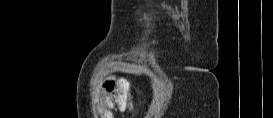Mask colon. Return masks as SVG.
Wrapping results in <instances>:
<instances>
[{"label":"colon","instance_id":"colon-1","mask_svg":"<svg viewBox=\"0 0 273 118\" xmlns=\"http://www.w3.org/2000/svg\"><path fill=\"white\" fill-rule=\"evenodd\" d=\"M105 100L101 105V113L110 117V109L114 105L122 111L130 110V92L126 80L109 78L103 84Z\"/></svg>","mask_w":273,"mask_h":118}]
</instances>
